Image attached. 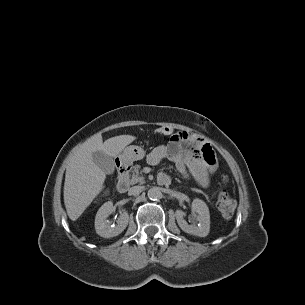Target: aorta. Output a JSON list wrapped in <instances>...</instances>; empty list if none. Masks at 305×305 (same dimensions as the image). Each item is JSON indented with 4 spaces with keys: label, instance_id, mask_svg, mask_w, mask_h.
Masks as SVG:
<instances>
[{
    "label": "aorta",
    "instance_id": "762f6f07",
    "mask_svg": "<svg viewBox=\"0 0 305 305\" xmlns=\"http://www.w3.org/2000/svg\"><path fill=\"white\" fill-rule=\"evenodd\" d=\"M147 195H148V198H149L150 200H158V199L161 198L162 193H161V191H160L159 188H157V187H152V188H150V189L148 190Z\"/></svg>",
    "mask_w": 305,
    "mask_h": 305
}]
</instances>
